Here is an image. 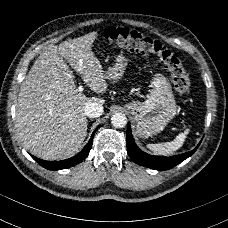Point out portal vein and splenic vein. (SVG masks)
<instances>
[{"label":"portal vein and splenic vein","instance_id":"1","mask_svg":"<svg viewBox=\"0 0 228 228\" xmlns=\"http://www.w3.org/2000/svg\"><path fill=\"white\" fill-rule=\"evenodd\" d=\"M77 92L78 93H83L84 92V87L83 86H78L77 87Z\"/></svg>","mask_w":228,"mask_h":228}]
</instances>
